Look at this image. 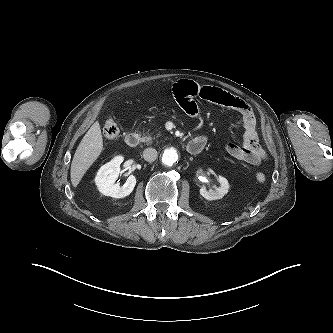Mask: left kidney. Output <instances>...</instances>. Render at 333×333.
I'll return each instance as SVG.
<instances>
[{"label":"left kidney","mask_w":333,"mask_h":333,"mask_svg":"<svg viewBox=\"0 0 333 333\" xmlns=\"http://www.w3.org/2000/svg\"><path fill=\"white\" fill-rule=\"evenodd\" d=\"M218 181L220 183L219 187H216L214 190L212 189L206 190L205 187H202L200 189V194L207 200L221 199L224 195L228 193L229 182L223 176H219Z\"/></svg>","instance_id":"5707ae66"}]
</instances>
